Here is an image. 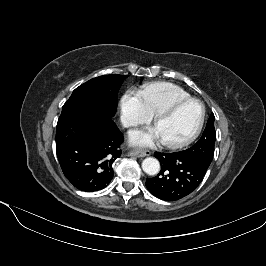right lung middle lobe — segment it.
<instances>
[{
    "instance_id": "1",
    "label": "right lung middle lobe",
    "mask_w": 266,
    "mask_h": 266,
    "mask_svg": "<svg viewBox=\"0 0 266 266\" xmlns=\"http://www.w3.org/2000/svg\"><path fill=\"white\" fill-rule=\"evenodd\" d=\"M126 75H104L93 78L77 87L62 107V113H102L114 116L117 94Z\"/></svg>"
}]
</instances>
